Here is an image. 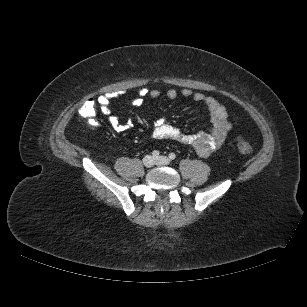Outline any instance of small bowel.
Here are the masks:
<instances>
[{
	"mask_svg": "<svg viewBox=\"0 0 307 307\" xmlns=\"http://www.w3.org/2000/svg\"><path fill=\"white\" fill-rule=\"evenodd\" d=\"M166 97L174 100L178 97L175 89H169L165 93ZM184 98H191L196 104L200 105L208 114L212 124L210 132H200L196 134H184L178 128L169 124L164 117L158 118L153 123V137L158 140H173L186 146H190L201 157H207L219 149L224 143L227 134L232 129V124L228 120L225 107L212 97L205 96L199 92L185 88L181 91ZM162 96L159 90L140 89L136 97L131 100L134 107H141L147 97L157 99ZM111 94H102L97 97L96 102L101 113L108 117L111 127L116 132H125L131 129V121L121 123L119 119L111 113L110 101Z\"/></svg>",
	"mask_w": 307,
	"mask_h": 307,
	"instance_id": "obj_1",
	"label": "small bowel"
}]
</instances>
